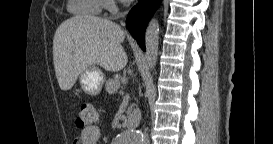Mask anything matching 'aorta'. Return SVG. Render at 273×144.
Returning <instances> with one entry per match:
<instances>
[{"label":"aorta","instance_id":"obj_1","mask_svg":"<svg viewBox=\"0 0 273 144\" xmlns=\"http://www.w3.org/2000/svg\"><path fill=\"white\" fill-rule=\"evenodd\" d=\"M158 35L159 23L158 20L153 17L145 32L146 61L150 70L154 69L157 62ZM142 140L143 134L139 130L122 133L117 138L118 144H140Z\"/></svg>","mask_w":273,"mask_h":144}]
</instances>
